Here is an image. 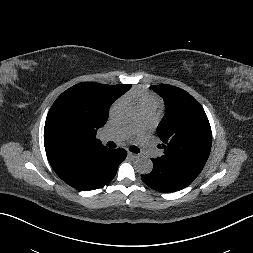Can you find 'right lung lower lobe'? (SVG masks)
<instances>
[{"mask_svg":"<svg viewBox=\"0 0 253 253\" xmlns=\"http://www.w3.org/2000/svg\"><path fill=\"white\" fill-rule=\"evenodd\" d=\"M126 155V151L122 148H105L92 153L79 154L52 167L68 185L80 191H89L109 183Z\"/></svg>","mask_w":253,"mask_h":253,"instance_id":"98d812e1","label":"right lung lower lobe"}]
</instances>
